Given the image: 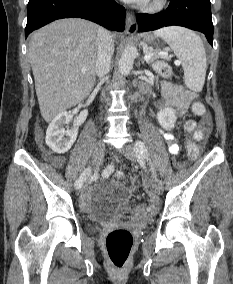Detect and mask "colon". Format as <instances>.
<instances>
[{
	"instance_id": "1",
	"label": "colon",
	"mask_w": 233,
	"mask_h": 284,
	"mask_svg": "<svg viewBox=\"0 0 233 284\" xmlns=\"http://www.w3.org/2000/svg\"><path fill=\"white\" fill-rule=\"evenodd\" d=\"M155 71L164 78H169L172 75L171 67L164 61H157L154 64ZM192 111L195 115L205 116V106L198 101L192 104ZM185 129L187 132H193L195 126L193 123H186ZM196 138H188L186 141V149L188 156L191 159H196L201 152V145ZM104 178L114 177L116 180L122 181L125 178L123 172L116 171L114 166L109 165L102 171ZM133 215L138 220H144L148 216V207L139 205L134 209ZM133 246V236L130 231L124 228H117L109 232L106 237V249L108 257L112 265L117 269H122L129 258Z\"/></svg>"
}]
</instances>
